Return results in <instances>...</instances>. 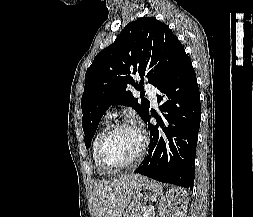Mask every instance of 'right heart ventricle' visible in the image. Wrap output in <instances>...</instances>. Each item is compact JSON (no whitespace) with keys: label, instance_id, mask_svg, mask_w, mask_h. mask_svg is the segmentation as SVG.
<instances>
[{"label":"right heart ventricle","instance_id":"right-heart-ventricle-1","mask_svg":"<svg viewBox=\"0 0 253 217\" xmlns=\"http://www.w3.org/2000/svg\"><path fill=\"white\" fill-rule=\"evenodd\" d=\"M109 128V121H106V123L104 124L103 128L100 130V132L96 135L94 142H93V146H92V153H93V159H94V163L96 166V169L98 171L99 174H104L98 167L97 164V158H96V152H97V146L99 143V140L101 138V136L103 135V133Z\"/></svg>","mask_w":253,"mask_h":217}]
</instances>
